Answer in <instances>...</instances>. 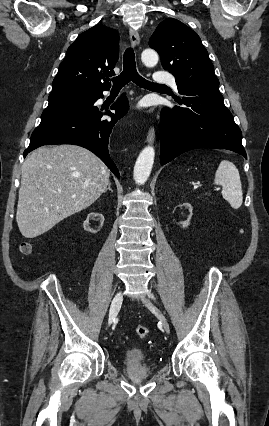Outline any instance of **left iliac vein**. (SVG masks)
Masks as SVG:
<instances>
[{
	"mask_svg": "<svg viewBox=\"0 0 269 426\" xmlns=\"http://www.w3.org/2000/svg\"><path fill=\"white\" fill-rule=\"evenodd\" d=\"M142 301L149 309H151L153 312H155L156 316L158 317V319L162 323V326H163L165 332L167 334H169L170 333L169 323H168L166 317L163 315V313L154 304H152L148 299L142 298Z\"/></svg>",
	"mask_w": 269,
	"mask_h": 426,
	"instance_id": "4c4485c4",
	"label": "left iliac vein"
}]
</instances>
